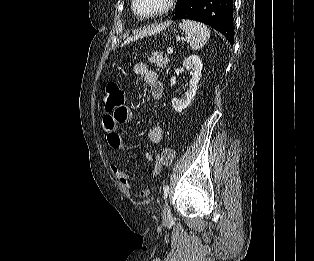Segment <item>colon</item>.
Listing matches in <instances>:
<instances>
[{"label": "colon", "instance_id": "1", "mask_svg": "<svg viewBox=\"0 0 314 261\" xmlns=\"http://www.w3.org/2000/svg\"><path fill=\"white\" fill-rule=\"evenodd\" d=\"M124 103V93L119 85L113 81L107 82L104 85L103 107L107 112L108 109H117ZM174 158V151L172 149H163L158 161L161 165H170Z\"/></svg>", "mask_w": 314, "mask_h": 261}]
</instances>
